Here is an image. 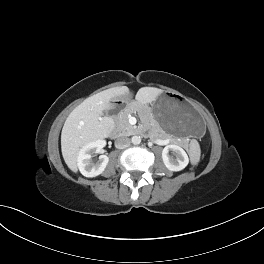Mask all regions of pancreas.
<instances>
[{"instance_id": "1", "label": "pancreas", "mask_w": 264, "mask_h": 264, "mask_svg": "<svg viewBox=\"0 0 264 264\" xmlns=\"http://www.w3.org/2000/svg\"><path fill=\"white\" fill-rule=\"evenodd\" d=\"M136 111V105L135 104H130L127 109L122 111L115 119L116 126L119 131H121L124 134H132L135 131V127L132 126L128 122V116L129 114H132ZM154 137H157L158 134L154 133Z\"/></svg>"}]
</instances>
